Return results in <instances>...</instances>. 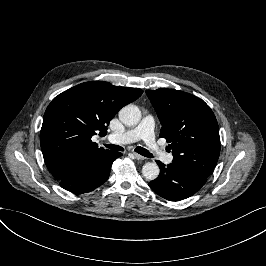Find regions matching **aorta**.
I'll return each instance as SVG.
<instances>
[{
	"mask_svg": "<svg viewBox=\"0 0 266 266\" xmlns=\"http://www.w3.org/2000/svg\"><path fill=\"white\" fill-rule=\"evenodd\" d=\"M140 119L141 111L136 105H126L119 111V120L127 126L137 125ZM159 173L160 169L155 162H147L142 167V174L149 181L155 180Z\"/></svg>",
	"mask_w": 266,
	"mask_h": 266,
	"instance_id": "1",
	"label": "aorta"
}]
</instances>
